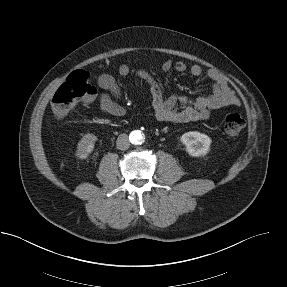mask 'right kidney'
Segmentation results:
<instances>
[{
  "mask_svg": "<svg viewBox=\"0 0 287 287\" xmlns=\"http://www.w3.org/2000/svg\"><path fill=\"white\" fill-rule=\"evenodd\" d=\"M97 137L94 134H85L77 145L76 155L80 159H85L93 151Z\"/></svg>",
  "mask_w": 287,
  "mask_h": 287,
  "instance_id": "ca27d5eb",
  "label": "right kidney"
}]
</instances>
